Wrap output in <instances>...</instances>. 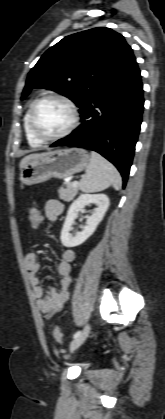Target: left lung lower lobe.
I'll use <instances>...</instances> for the list:
<instances>
[{"instance_id": "1", "label": "left lung lower lobe", "mask_w": 165, "mask_h": 419, "mask_svg": "<svg viewBox=\"0 0 165 419\" xmlns=\"http://www.w3.org/2000/svg\"><path fill=\"white\" fill-rule=\"evenodd\" d=\"M140 70L133 56L80 109L81 125L51 145L94 150L112 162L126 185L143 112Z\"/></svg>"}]
</instances>
